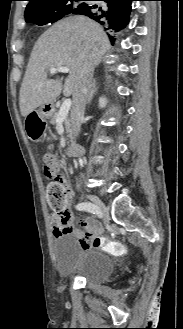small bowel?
I'll use <instances>...</instances> for the list:
<instances>
[{
    "mask_svg": "<svg viewBox=\"0 0 183 329\" xmlns=\"http://www.w3.org/2000/svg\"><path fill=\"white\" fill-rule=\"evenodd\" d=\"M45 158L51 160L53 167L60 169L61 163L57 157L46 154ZM71 197L72 195L70 194ZM50 220L53 225V235L55 237L63 233H73L77 236L83 250L97 247L94 244V239L102 232V227L95 220L84 218L75 223L73 214L70 211H68L64 218L51 214Z\"/></svg>",
    "mask_w": 183,
    "mask_h": 329,
    "instance_id": "c3829d8e",
    "label": "small bowel"
}]
</instances>
